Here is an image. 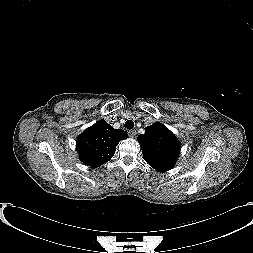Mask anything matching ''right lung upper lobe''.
<instances>
[{"label": "right lung upper lobe", "instance_id": "obj_1", "mask_svg": "<svg viewBox=\"0 0 253 253\" xmlns=\"http://www.w3.org/2000/svg\"><path fill=\"white\" fill-rule=\"evenodd\" d=\"M127 137L128 134L124 130L113 129L105 120L96 122L77 139L81 162L92 168L101 166L113 157L119 141Z\"/></svg>", "mask_w": 253, "mask_h": 253}]
</instances>
